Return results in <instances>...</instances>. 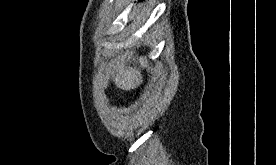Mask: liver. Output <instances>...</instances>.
Masks as SVG:
<instances>
[{"label":"liver","mask_w":276,"mask_h":165,"mask_svg":"<svg viewBox=\"0 0 276 165\" xmlns=\"http://www.w3.org/2000/svg\"><path fill=\"white\" fill-rule=\"evenodd\" d=\"M110 68L115 84L122 89H134L143 82L141 72L130 66L112 61Z\"/></svg>","instance_id":"1"}]
</instances>
